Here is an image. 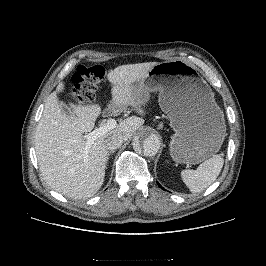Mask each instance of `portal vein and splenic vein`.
Returning a JSON list of instances; mask_svg holds the SVG:
<instances>
[{
    "label": "portal vein and splenic vein",
    "instance_id": "obj_1",
    "mask_svg": "<svg viewBox=\"0 0 266 266\" xmlns=\"http://www.w3.org/2000/svg\"><path fill=\"white\" fill-rule=\"evenodd\" d=\"M116 125H117V122L115 119H109V120H107L106 123L101 125L99 128H96L95 130H93L89 134L84 135V138L87 141L86 150H88L90 148V146L93 144V142L97 138L103 136L104 134H106L110 130L114 129L116 127Z\"/></svg>",
    "mask_w": 266,
    "mask_h": 266
}]
</instances>
